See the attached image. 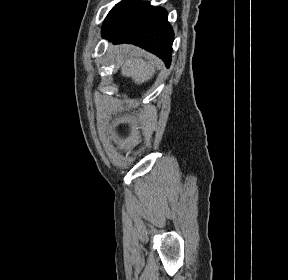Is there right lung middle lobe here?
<instances>
[{"label": "right lung middle lobe", "mask_w": 288, "mask_h": 280, "mask_svg": "<svg viewBox=\"0 0 288 280\" xmlns=\"http://www.w3.org/2000/svg\"><path fill=\"white\" fill-rule=\"evenodd\" d=\"M123 2H124V1H123ZM121 3H122V2L118 3L117 5H119V4H121ZM117 5H116V6H117Z\"/></svg>", "instance_id": "1"}]
</instances>
